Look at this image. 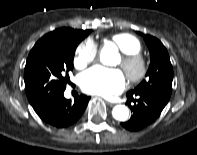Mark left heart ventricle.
Returning <instances> with one entry per match:
<instances>
[{
    "label": "left heart ventricle",
    "instance_id": "b2bd125f",
    "mask_svg": "<svg viewBox=\"0 0 197 155\" xmlns=\"http://www.w3.org/2000/svg\"><path fill=\"white\" fill-rule=\"evenodd\" d=\"M121 63H122V59L119 60L118 65L121 66Z\"/></svg>",
    "mask_w": 197,
    "mask_h": 155
}]
</instances>
